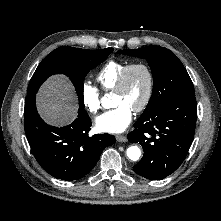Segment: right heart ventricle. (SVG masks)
I'll list each match as a JSON object with an SVG mask.
<instances>
[{"mask_svg":"<svg viewBox=\"0 0 221 221\" xmlns=\"http://www.w3.org/2000/svg\"><path fill=\"white\" fill-rule=\"evenodd\" d=\"M127 65L128 62L126 61H119V60L108 61L100 69L96 77L101 88L104 91L114 90L122 71Z\"/></svg>","mask_w":221,"mask_h":221,"instance_id":"obj_1","label":"right heart ventricle"}]
</instances>
